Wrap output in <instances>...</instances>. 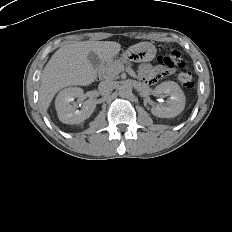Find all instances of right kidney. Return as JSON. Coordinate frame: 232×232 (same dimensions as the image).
<instances>
[{
  "label": "right kidney",
  "mask_w": 232,
  "mask_h": 232,
  "mask_svg": "<svg viewBox=\"0 0 232 232\" xmlns=\"http://www.w3.org/2000/svg\"><path fill=\"white\" fill-rule=\"evenodd\" d=\"M83 95V89L69 87L60 91L55 100L58 118L65 124H79L89 118L96 108V102L88 99L83 103L81 110H76L77 105L71 104L76 97Z\"/></svg>",
  "instance_id": "1"
}]
</instances>
